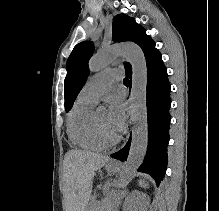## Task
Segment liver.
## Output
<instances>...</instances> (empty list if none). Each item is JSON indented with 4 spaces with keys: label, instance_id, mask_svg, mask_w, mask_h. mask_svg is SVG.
<instances>
[{
    "label": "liver",
    "instance_id": "liver-1",
    "mask_svg": "<svg viewBox=\"0 0 219 211\" xmlns=\"http://www.w3.org/2000/svg\"><path fill=\"white\" fill-rule=\"evenodd\" d=\"M109 155L69 149L64 157V197L66 211H84L93 187V177Z\"/></svg>",
    "mask_w": 219,
    "mask_h": 211
}]
</instances>
